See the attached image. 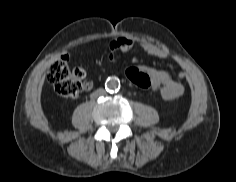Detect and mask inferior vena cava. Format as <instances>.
I'll return each instance as SVG.
<instances>
[{"label":"inferior vena cava","mask_w":236,"mask_h":182,"mask_svg":"<svg viewBox=\"0 0 236 182\" xmlns=\"http://www.w3.org/2000/svg\"><path fill=\"white\" fill-rule=\"evenodd\" d=\"M103 94H105V90L102 89V88L98 89V90L95 92V95H97V96L103 95Z\"/></svg>","instance_id":"obj_1"}]
</instances>
